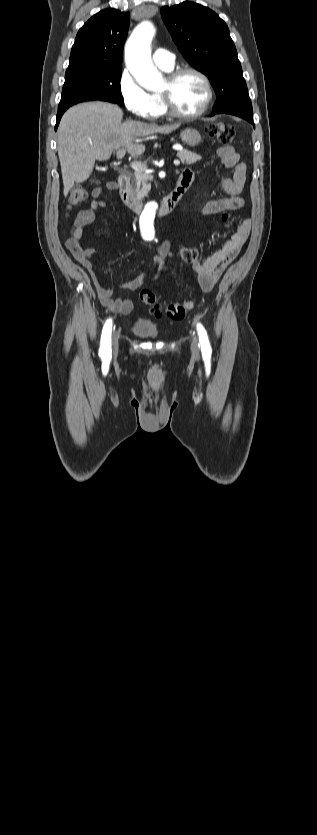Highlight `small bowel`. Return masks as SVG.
<instances>
[{"label":"small bowel","instance_id":"small-bowel-1","mask_svg":"<svg viewBox=\"0 0 317 835\" xmlns=\"http://www.w3.org/2000/svg\"><path fill=\"white\" fill-rule=\"evenodd\" d=\"M217 154L226 168L233 169V175L219 181V185L225 193V196L207 201L201 208V212L204 215H214L226 210L240 209L244 206V200L240 197V194L246 182V165L239 161V154L232 146L219 148ZM180 179L187 182L190 187L195 179V172L190 168H186L183 170ZM107 188L109 190H115L116 187L113 182H109ZM101 193L102 188L98 187L94 189L92 193L93 199L89 207L81 209L78 212L72 224L70 237L67 240V247L88 271L101 304L111 312L128 315L133 310V301L129 298L114 297L113 291L101 284L92 263L94 249L91 247L82 248L79 244L85 228L94 222L97 209L105 208L107 205L100 198ZM249 231L250 220L245 218L221 250L204 260L196 258L189 261L203 291L208 292L214 287L225 269L239 254L248 238ZM158 254L153 260L155 267L153 275L150 276L149 271H145L128 282L118 284V288L126 291H135L146 283H156L165 270L164 260L171 254L168 241H163L159 245Z\"/></svg>","mask_w":317,"mask_h":835}]
</instances>
